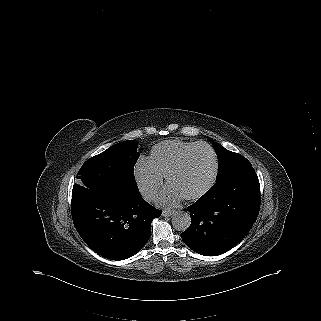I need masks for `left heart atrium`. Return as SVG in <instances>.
<instances>
[{
  "label": "left heart atrium",
  "instance_id": "left-heart-atrium-1",
  "mask_svg": "<svg viewBox=\"0 0 321 321\" xmlns=\"http://www.w3.org/2000/svg\"><path fill=\"white\" fill-rule=\"evenodd\" d=\"M182 198H183V194L178 192L175 188H173L170 185L160 194L158 198V202L167 207H170V206L177 205Z\"/></svg>",
  "mask_w": 321,
  "mask_h": 321
}]
</instances>
